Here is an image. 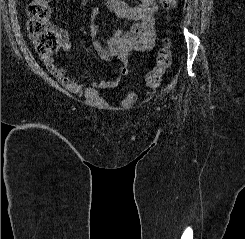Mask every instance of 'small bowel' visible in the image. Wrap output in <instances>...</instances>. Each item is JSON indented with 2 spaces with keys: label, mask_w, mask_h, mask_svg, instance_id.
<instances>
[{
  "label": "small bowel",
  "mask_w": 245,
  "mask_h": 239,
  "mask_svg": "<svg viewBox=\"0 0 245 239\" xmlns=\"http://www.w3.org/2000/svg\"><path fill=\"white\" fill-rule=\"evenodd\" d=\"M107 6L118 18L130 20L134 23L128 30L115 29L106 42L102 43L98 39V28L94 21L97 11L93 10L89 29L92 49L101 60L106 62L118 60L120 63L117 77L101 79L92 84V87L99 89L117 88L121 80L129 73V54L132 51H150L155 43L154 16L158 9L156 0H140L137 5H130L123 0H107ZM61 48L66 53L72 52V44L66 34H62ZM42 61L49 72L67 90L73 93H78L82 90V84L76 79L67 76L65 69L55 65L53 55L42 56Z\"/></svg>",
  "instance_id": "obj_1"
}]
</instances>
